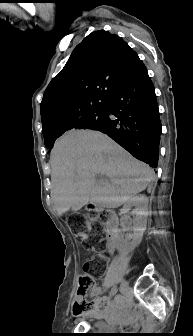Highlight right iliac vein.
Masks as SVG:
<instances>
[{
    "label": "right iliac vein",
    "instance_id": "63e3f726",
    "mask_svg": "<svg viewBox=\"0 0 193 336\" xmlns=\"http://www.w3.org/2000/svg\"><path fill=\"white\" fill-rule=\"evenodd\" d=\"M127 288H128V283L126 281H123L120 285V292L125 293L127 291Z\"/></svg>",
    "mask_w": 193,
    "mask_h": 336
}]
</instances>
